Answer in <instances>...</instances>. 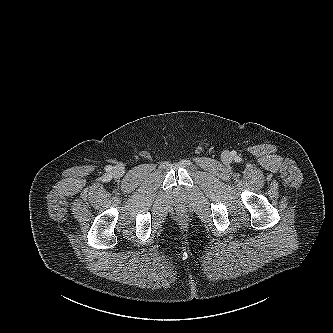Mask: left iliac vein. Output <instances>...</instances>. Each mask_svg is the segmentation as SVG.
<instances>
[{
  "label": "left iliac vein",
  "mask_w": 333,
  "mask_h": 333,
  "mask_svg": "<svg viewBox=\"0 0 333 333\" xmlns=\"http://www.w3.org/2000/svg\"><path fill=\"white\" fill-rule=\"evenodd\" d=\"M223 161H224V162H227V161H228V157L225 156V157L223 158Z\"/></svg>",
  "instance_id": "4c4485c4"
}]
</instances>
